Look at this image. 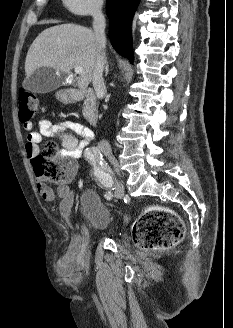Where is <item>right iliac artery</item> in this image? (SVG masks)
<instances>
[{
  "label": "right iliac artery",
  "instance_id": "right-iliac-artery-1",
  "mask_svg": "<svg viewBox=\"0 0 233 328\" xmlns=\"http://www.w3.org/2000/svg\"><path fill=\"white\" fill-rule=\"evenodd\" d=\"M86 160L94 166V176L97 178L98 185L106 190L105 198L112 199L113 194L111 188L113 180L107 163L103 159V155L99 148L92 147L85 153Z\"/></svg>",
  "mask_w": 233,
  "mask_h": 328
}]
</instances>
